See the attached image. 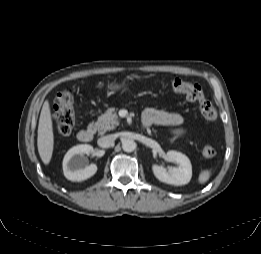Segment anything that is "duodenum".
<instances>
[{
    "instance_id": "duodenum-1",
    "label": "duodenum",
    "mask_w": 261,
    "mask_h": 254,
    "mask_svg": "<svg viewBox=\"0 0 261 254\" xmlns=\"http://www.w3.org/2000/svg\"><path fill=\"white\" fill-rule=\"evenodd\" d=\"M94 135H95V129L93 127H90V128L81 130L78 133V139L81 142L88 143L93 139Z\"/></svg>"
}]
</instances>
